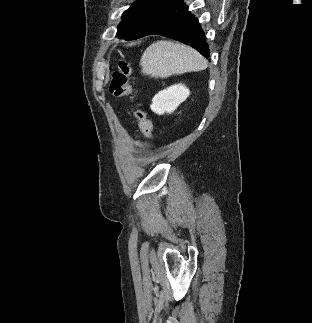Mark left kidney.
Returning a JSON list of instances; mask_svg holds the SVG:
<instances>
[{
	"label": "left kidney",
	"mask_w": 312,
	"mask_h": 323,
	"mask_svg": "<svg viewBox=\"0 0 312 323\" xmlns=\"http://www.w3.org/2000/svg\"><path fill=\"white\" fill-rule=\"evenodd\" d=\"M190 92L188 88H185L183 84H176V86H170L167 90H162L159 94H156L152 100V104L150 106L152 112L155 114H171L173 110L178 108L179 104L185 102L186 98H188Z\"/></svg>",
	"instance_id": "1"
}]
</instances>
